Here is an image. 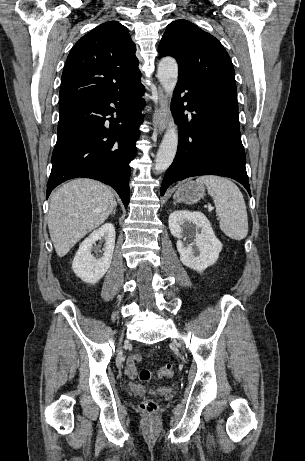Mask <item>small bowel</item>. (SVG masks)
<instances>
[{"mask_svg": "<svg viewBox=\"0 0 305 461\" xmlns=\"http://www.w3.org/2000/svg\"><path fill=\"white\" fill-rule=\"evenodd\" d=\"M142 362V356L140 354L133 355L129 357L127 360L126 366H125V372L126 374L131 377L135 378L137 375V370H136V363Z\"/></svg>", "mask_w": 305, "mask_h": 461, "instance_id": "c3829d8e", "label": "small bowel"}]
</instances>
